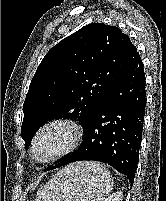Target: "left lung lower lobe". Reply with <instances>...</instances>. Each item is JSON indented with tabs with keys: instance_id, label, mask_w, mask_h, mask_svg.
<instances>
[{
	"instance_id": "obj_1",
	"label": "left lung lower lobe",
	"mask_w": 166,
	"mask_h": 201,
	"mask_svg": "<svg viewBox=\"0 0 166 201\" xmlns=\"http://www.w3.org/2000/svg\"><path fill=\"white\" fill-rule=\"evenodd\" d=\"M145 105L144 68L137 52L83 127L79 149L46 170L81 160L100 161L127 176L132 185L139 160Z\"/></svg>"
}]
</instances>
